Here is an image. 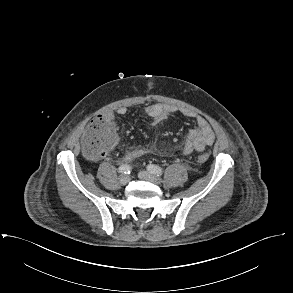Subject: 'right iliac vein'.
I'll use <instances>...</instances> for the list:
<instances>
[{"label": "right iliac vein", "instance_id": "1", "mask_svg": "<svg viewBox=\"0 0 293 293\" xmlns=\"http://www.w3.org/2000/svg\"><path fill=\"white\" fill-rule=\"evenodd\" d=\"M130 181V177L128 175H121L119 178V182L121 185H126Z\"/></svg>", "mask_w": 293, "mask_h": 293}]
</instances>
